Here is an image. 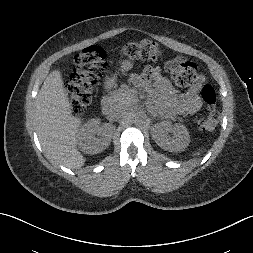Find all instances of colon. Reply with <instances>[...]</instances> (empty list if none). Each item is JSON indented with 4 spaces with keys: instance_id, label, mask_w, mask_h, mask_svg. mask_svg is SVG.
<instances>
[{
    "instance_id": "5ec220e1",
    "label": "colon",
    "mask_w": 253,
    "mask_h": 253,
    "mask_svg": "<svg viewBox=\"0 0 253 253\" xmlns=\"http://www.w3.org/2000/svg\"><path fill=\"white\" fill-rule=\"evenodd\" d=\"M120 54L133 60H157L161 56L160 47L148 40L131 42L120 48ZM75 67L65 83L72 109L75 113H82L90 104L92 90L103 76L107 62L106 53L99 46H90L74 57ZM167 72L179 86H190L203 81L202 74L195 63L176 57L166 64ZM201 96L208 106V112L199 118L197 124L202 131H213L219 122V112L215 108L216 92L206 84Z\"/></svg>"
}]
</instances>
